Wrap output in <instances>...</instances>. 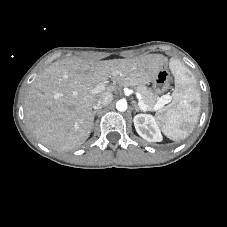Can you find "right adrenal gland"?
Returning a JSON list of instances; mask_svg holds the SVG:
<instances>
[{"mask_svg": "<svg viewBox=\"0 0 227 227\" xmlns=\"http://www.w3.org/2000/svg\"><path fill=\"white\" fill-rule=\"evenodd\" d=\"M97 112H98V110H95V111L93 112V117L96 115Z\"/></svg>", "mask_w": 227, "mask_h": 227, "instance_id": "2a0ac1e0", "label": "right adrenal gland"}]
</instances>
